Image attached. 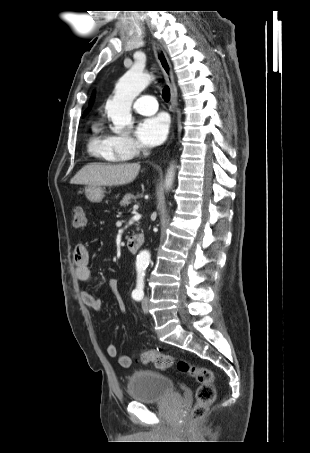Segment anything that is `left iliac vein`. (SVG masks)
Wrapping results in <instances>:
<instances>
[{"mask_svg": "<svg viewBox=\"0 0 310 453\" xmlns=\"http://www.w3.org/2000/svg\"><path fill=\"white\" fill-rule=\"evenodd\" d=\"M142 310L144 313H148L149 310V299L147 296H144L142 299Z\"/></svg>", "mask_w": 310, "mask_h": 453, "instance_id": "1", "label": "left iliac vein"}]
</instances>
